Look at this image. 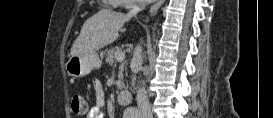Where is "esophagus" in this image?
Here are the masks:
<instances>
[{"mask_svg":"<svg viewBox=\"0 0 273 118\" xmlns=\"http://www.w3.org/2000/svg\"><path fill=\"white\" fill-rule=\"evenodd\" d=\"M164 2L165 0H158L154 5H152L149 11L150 15H153L154 13H156L157 10L162 6Z\"/></svg>","mask_w":273,"mask_h":118,"instance_id":"34e87169","label":"esophagus"}]
</instances>
